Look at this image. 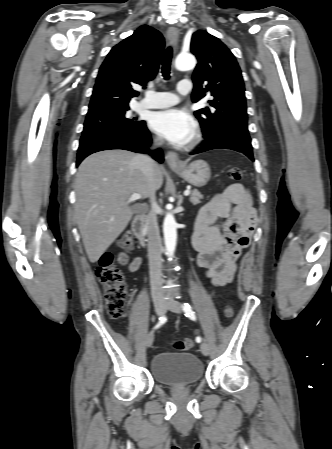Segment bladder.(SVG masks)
Listing matches in <instances>:
<instances>
[{"mask_svg": "<svg viewBox=\"0 0 332 449\" xmlns=\"http://www.w3.org/2000/svg\"><path fill=\"white\" fill-rule=\"evenodd\" d=\"M151 374L164 386H190L203 378L204 366L193 353L162 352L152 359Z\"/></svg>", "mask_w": 332, "mask_h": 449, "instance_id": "bladder-1", "label": "bladder"}]
</instances>
